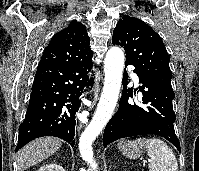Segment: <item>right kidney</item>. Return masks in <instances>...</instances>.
Wrapping results in <instances>:
<instances>
[{"label": "right kidney", "instance_id": "ca27d5eb", "mask_svg": "<svg viewBox=\"0 0 199 171\" xmlns=\"http://www.w3.org/2000/svg\"><path fill=\"white\" fill-rule=\"evenodd\" d=\"M37 171H65L62 166L56 163L44 164Z\"/></svg>", "mask_w": 199, "mask_h": 171}]
</instances>
